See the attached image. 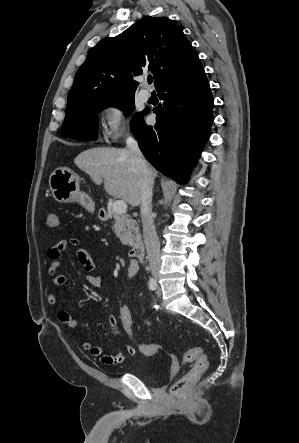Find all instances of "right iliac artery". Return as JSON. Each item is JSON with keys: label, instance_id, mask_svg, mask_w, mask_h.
<instances>
[{"label": "right iliac artery", "instance_id": "obj_1", "mask_svg": "<svg viewBox=\"0 0 299 443\" xmlns=\"http://www.w3.org/2000/svg\"><path fill=\"white\" fill-rule=\"evenodd\" d=\"M148 286H149L150 290L154 291L156 289V287H157L156 280L154 278H151L149 280Z\"/></svg>", "mask_w": 299, "mask_h": 443}]
</instances>
